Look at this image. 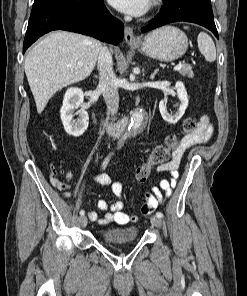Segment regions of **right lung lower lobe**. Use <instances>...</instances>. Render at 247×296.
I'll return each instance as SVG.
<instances>
[{"label":"right lung lower lobe","mask_w":247,"mask_h":296,"mask_svg":"<svg viewBox=\"0 0 247 296\" xmlns=\"http://www.w3.org/2000/svg\"><path fill=\"white\" fill-rule=\"evenodd\" d=\"M53 30L77 32L117 45L123 39L124 26L109 14L103 0H35L23 53Z\"/></svg>","instance_id":"1"}]
</instances>
